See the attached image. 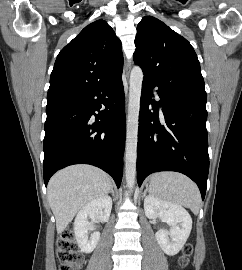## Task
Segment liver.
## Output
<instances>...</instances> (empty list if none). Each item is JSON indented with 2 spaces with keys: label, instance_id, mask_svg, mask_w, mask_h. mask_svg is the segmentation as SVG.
<instances>
[{
  "label": "liver",
  "instance_id": "6515ba94",
  "mask_svg": "<svg viewBox=\"0 0 242 270\" xmlns=\"http://www.w3.org/2000/svg\"><path fill=\"white\" fill-rule=\"evenodd\" d=\"M109 175L90 165H73L58 171L48 184V201L61 234L76 213L90 201L107 195Z\"/></svg>",
  "mask_w": 242,
  "mask_h": 270
}]
</instances>
